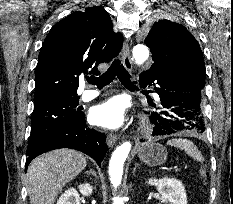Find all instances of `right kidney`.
I'll list each match as a JSON object with an SVG mask.
<instances>
[{"label": "right kidney", "instance_id": "ca27d5eb", "mask_svg": "<svg viewBox=\"0 0 233 204\" xmlns=\"http://www.w3.org/2000/svg\"><path fill=\"white\" fill-rule=\"evenodd\" d=\"M92 191L93 188L89 183L79 185V192L84 196L91 195ZM57 204H80V194L76 189L69 188L60 196Z\"/></svg>", "mask_w": 233, "mask_h": 204}]
</instances>
